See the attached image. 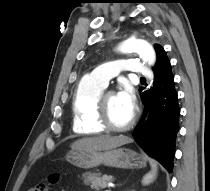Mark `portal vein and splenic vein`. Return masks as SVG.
Here are the masks:
<instances>
[{
	"label": "portal vein and splenic vein",
	"mask_w": 210,
	"mask_h": 191,
	"mask_svg": "<svg viewBox=\"0 0 210 191\" xmlns=\"http://www.w3.org/2000/svg\"><path fill=\"white\" fill-rule=\"evenodd\" d=\"M112 186H113L112 184H108L109 189L106 190V191H111V190H110V187H112Z\"/></svg>",
	"instance_id": "18ae733b"
}]
</instances>
